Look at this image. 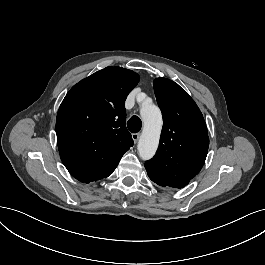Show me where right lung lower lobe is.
<instances>
[{
	"label": "right lung lower lobe",
	"mask_w": 265,
	"mask_h": 265,
	"mask_svg": "<svg viewBox=\"0 0 265 265\" xmlns=\"http://www.w3.org/2000/svg\"><path fill=\"white\" fill-rule=\"evenodd\" d=\"M65 167L67 168L69 173L77 180L85 183H90L108 177L111 173H113L117 165L108 167H92L67 164L65 165Z\"/></svg>",
	"instance_id": "1"
}]
</instances>
